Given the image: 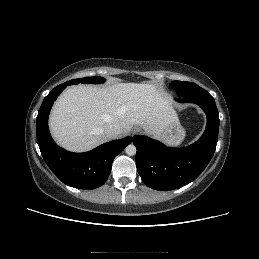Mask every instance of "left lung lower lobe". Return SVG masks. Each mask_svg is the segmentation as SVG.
I'll return each mask as SVG.
<instances>
[{
    "label": "left lung lower lobe",
    "instance_id": "0a47b994",
    "mask_svg": "<svg viewBox=\"0 0 259 259\" xmlns=\"http://www.w3.org/2000/svg\"><path fill=\"white\" fill-rule=\"evenodd\" d=\"M176 100L195 103L206 113V129L198 141L188 147L175 149L167 148L146 136L132 138L137 148L135 159L142 181L159 191L178 189L194 181L210 162L218 141V111L209 93L179 97Z\"/></svg>",
    "mask_w": 259,
    "mask_h": 259
}]
</instances>
